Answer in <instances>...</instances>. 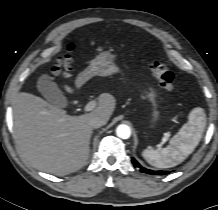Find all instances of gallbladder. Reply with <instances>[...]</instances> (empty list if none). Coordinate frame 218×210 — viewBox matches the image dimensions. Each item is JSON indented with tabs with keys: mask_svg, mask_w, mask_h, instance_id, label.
Instances as JSON below:
<instances>
[{
	"mask_svg": "<svg viewBox=\"0 0 218 210\" xmlns=\"http://www.w3.org/2000/svg\"><path fill=\"white\" fill-rule=\"evenodd\" d=\"M37 89L41 95L52 105L56 107L65 106V97L59 90L58 86L47 74H43L38 78Z\"/></svg>",
	"mask_w": 218,
	"mask_h": 210,
	"instance_id": "gallbladder-1",
	"label": "gallbladder"
}]
</instances>
